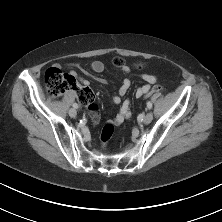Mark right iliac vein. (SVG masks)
Masks as SVG:
<instances>
[{"label": "right iliac vein", "mask_w": 222, "mask_h": 222, "mask_svg": "<svg viewBox=\"0 0 222 222\" xmlns=\"http://www.w3.org/2000/svg\"><path fill=\"white\" fill-rule=\"evenodd\" d=\"M69 116L75 118L77 116V111L74 108L69 110Z\"/></svg>", "instance_id": "right-iliac-vein-1"}]
</instances>
